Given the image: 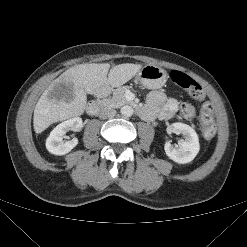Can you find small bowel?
<instances>
[{
    "label": "small bowel",
    "mask_w": 247,
    "mask_h": 247,
    "mask_svg": "<svg viewBox=\"0 0 247 247\" xmlns=\"http://www.w3.org/2000/svg\"><path fill=\"white\" fill-rule=\"evenodd\" d=\"M178 108L176 99L168 98L161 91H153L149 94L147 105L143 108V117L145 119H153L159 117L161 119L172 118Z\"/></svg>",
    "instance_id": "c3829d8e"
}]
</instances>
